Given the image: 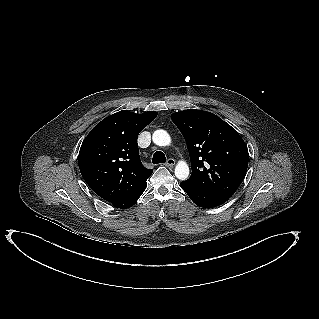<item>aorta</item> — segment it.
Wrapping results in <instances>:
<instances>
[{
  "instance_id": "1",
  "label": "aorta",
  "mask_w": 319,
  "mask_h": 319,
  "mask_svg": "<svg viewBox=\"0 0 319 319\" xmlns=\"http://www.w3.org/2000/svg\"><path fill=\"white\" fill-rule=\"evenodd\" d=\"M153 142L158 146H169L171 137L167 131L159 129L154 131L152 135ZM175 176L180 180H186L189 177V166L186 162L180 161L175 167Z\"/></svg>"
}]
</instances>
